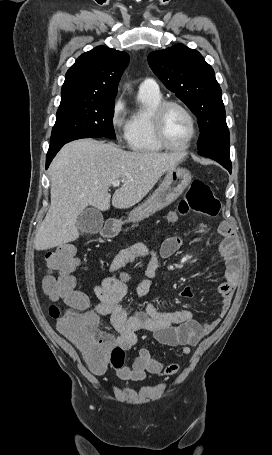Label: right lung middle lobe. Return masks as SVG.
I'll use <instances>...</instances> for the list:
<instances>
[{"label": "right lung middle lobe", "instance_id": "dd1d6c3e", "mask_svg": "<svg viewBox=\"0 0 272 455\" xmlns=\"http://www.w3.org/2000/svg\"><path fill=\"white\" fill-rule=\"evenodd\" d=\"M114 101L60 103L52 129L50 147L89 137L115 139Z\"/></svg>", "mask_w": 272, "mask_h": 455}]
</instances>
